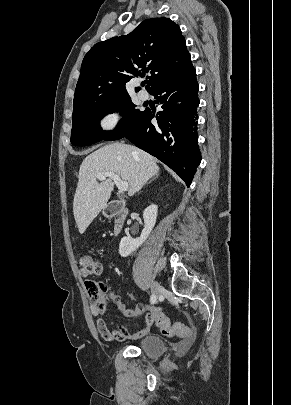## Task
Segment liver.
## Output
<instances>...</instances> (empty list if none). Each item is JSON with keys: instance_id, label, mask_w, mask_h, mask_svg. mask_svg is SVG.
I'll use <instances>...</instances> for the list:
<instances>
[{"instance_id": "1", "label": "liver", "mask_w": 291, "mask_h": 405, "mask_svg": "<svg viewBox=\"0 0 291 405\" xmlns=\"http://www.w3.org/2000/svg\"><path fill=\"white\" fill-rule=\"evenodd\" d=\"M113 172L128 182V195L133 196L159 172L153 156L128 144L111 143L89 154L79 170L73 201V214L80 234L106 206L114 183L108 178L97 181L98 173Z\"/></svg>"}]
</instances>
